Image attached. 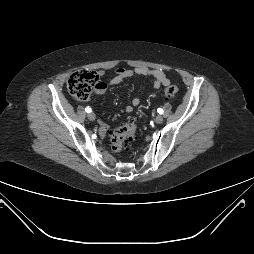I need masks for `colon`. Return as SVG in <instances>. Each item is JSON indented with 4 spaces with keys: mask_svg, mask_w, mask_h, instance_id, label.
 <instances>
[{
    "mask_svg": "<svg viewBox=\"0 0 254 254\" xmlns=\"http://www.w3.org/2000/svg\"><path fill=\"white\" fill-rule=\"evenodd\" d=\"M99 75L93 71H79L71 74L67 80L70 94L78 100H87L91 92L99 86ZM178 93L176 86L166 87L163 91L165 98H173ZM137 125L133 120L124 122L110 135L111 149L121 153L135 138Z\"/></svg>",
    "mask_w": 254,
    "mask_h": 254,
    "instance_id": "5ec220e1",
    "label": "colon"
}]
</instances>
